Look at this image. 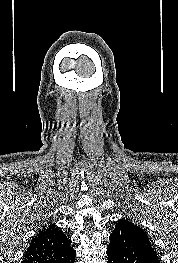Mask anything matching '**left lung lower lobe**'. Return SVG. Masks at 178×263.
I'll use <instances>...</instances> for the list:
<instances>
[{
  "mask_svg": "<svg viewBox=\"0 0 178 263\" xmlns=\"http://www.w3.org/2000/svg\"><path fill=\"white\" fill-rule=\"evenodd\" d=\"M109 240L107 263H160L147 234L131 221L119 220Z\"/></svg>",
  "mask_w": 178,
  "mask_h": 263,
  "instance_id": "0a47b994",
  "label": "left lung lower lobe"
}]
</instances>
